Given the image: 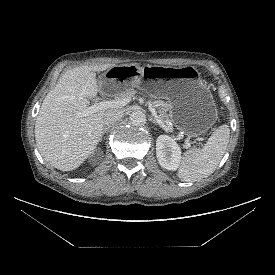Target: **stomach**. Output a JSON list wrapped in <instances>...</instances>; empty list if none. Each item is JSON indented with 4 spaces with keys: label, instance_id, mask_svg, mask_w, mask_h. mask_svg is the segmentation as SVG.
Wrapping results in <instances>:
<instances>
[{
    "label": "stomach",
    "instance_id": "stomach-1",
    "mask_svg": "<svg viewBox=\"0 0 275 275\" xmlns=\"http://www.w3.org/2000/svg\"><path fill=\"white\" fill-rule=\"evenodd\" d=\"M98 86L102 92L115 94L136 87L168 99L171 121L190 137L204 134L218 117L210 88L195 66H113L99 77Z\"/></svg>",
    "mask_w": 275,
    "mask_h": 275
}]
</instances>
